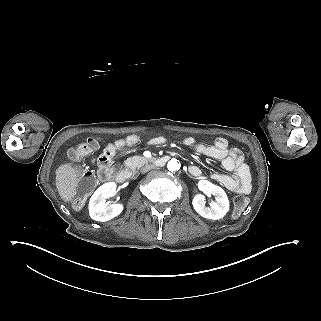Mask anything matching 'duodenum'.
<instances>
[{"mask_svg": "<svg viewBox=\"0 0 321 321\" xmlns=\"http://www.w3.org/2000/svg\"><path fill=\"white\" fill-rule=\"evenodd\" d=\"M168 159L169 158L167 156L157 158L154 161V164L156 166H163V165H165L167 163ZM132 176H133V172L130 169L124 168V169H120L115 174V179H116L117 182L122 183V182H125V181L131 179Z\"/></svg>", "mask_w": 321, "mask_h": 321, "instance_id": "410a0bca", "label": "duodenum"}]
</instances>
